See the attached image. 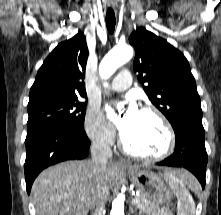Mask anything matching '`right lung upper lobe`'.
I'll return each mask as SVG.
<instances>
[{"instance_id": "right-lung-upper-lobe-1", "label": "right lung upper lobe", "mask_w": 221, "mask_h": 215, "mask_svg": "<svg viewBox=\"0 0 221 215\" xmlns=\"http://www.w3.org/2000/svg\"><path fill=\"white\" fill-rule=\"evenodd\" d=\"M88 54L86 38L82 32L58 44L37 73L28 105L86 97L83 79Z\"/></svg>"}]
</instances>
